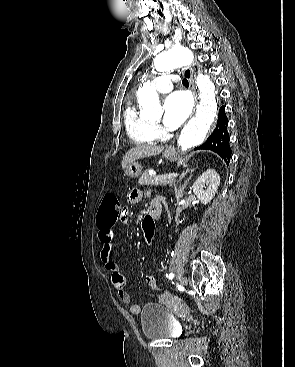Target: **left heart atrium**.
Returning <instances> with one entry per match:
<instances>
[{
  "label": "left heart atrium",
  "instance_id": "obj_1",
  "mask_svg": "<svg viewBox=\"0 0 295 367\" xmlns=\"http://www.w3.org/2000/svg\"><path fill=\"white\" fill-rule=\"evenodd\" d=\"M191 108V99L185 92L177 91L170 94L164 103V125L169 130L178 128L190 114Z\"/></svg>",
  "mask_w": 295,
  "mask_h": 367
}]
</instances>
